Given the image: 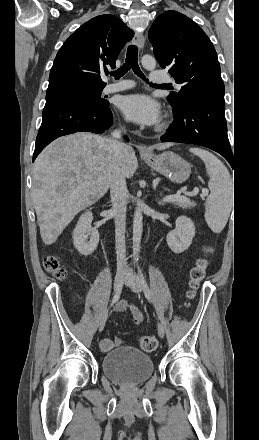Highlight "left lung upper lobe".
<instances>
[{"instance_id": "left-lung-upper-lobe-1", "label": "left lung upper lobe", "mask_w": 259, "mask_h": 440, "mask_svg": "<svg viewBox=\"0 0 259 440\" xmlns=\"http://www.w3.org/2000/svg\"><path fill=\"white\" fill-rule=\"evenodd\" d=\"M149 40L155 58L168 69L181 90L171 93L167 100L175 113L198 93L224 96L217 54L205 32L190 18L167 11L159 15L149 30Z\"/></svg>"}]
</instances>
